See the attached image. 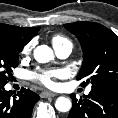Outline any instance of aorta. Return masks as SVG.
I'll return each instance as SVG.
<instances>
[{
    "mask_svg": "<svg viewBox=\"0 0 118 118\" xmlns=\"http://www.w3.org/2000/svg\"><path fill=\"white\" fill-rule=\"evenodd\" d=\"M34 58L39 63H47L54 57L53 50L47 45H40L34 49ZM72 107V102L69 98L60 96L55 101V108L59 112H68Z\"/></svg>",
    "mask_w": 118,
    "mask_h": 118,
    "instance_id": "1",
    "label": "aorta"
}]
</instances>
